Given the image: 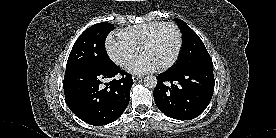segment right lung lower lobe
<instances>
[{"label": "right lung lower lobe", "mask_w": 276, "mask_h": 138, "mask_svg": "<svg viewBox=\"0 0 276 138\" xmlns=\"http://www.w3.org/2000/svg\"><path fill=\"white\" fill-rule=\"evenodd\" d=\"M117 74L122 78L114 79ZM132 85V76L114 63L108 67L84 65L68 69L63 81L69 109L94 126L112 123L121 116L129 103Z\"/></svg>", "instance_id": "right-lung-lower-lobe-1"}]
</instances>
